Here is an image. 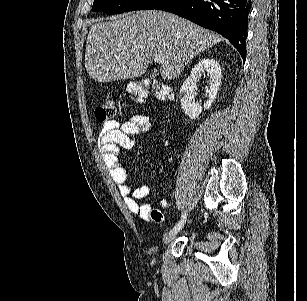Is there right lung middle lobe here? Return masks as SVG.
<instances>
[{
  "label": "right lung middle lobe",
  "mask_w": 307,
  "mask_h": 301,
  "mask_svg": "<svg viewBox=\"0 0 307 301\" xmlns=\"http://www.w3.org/2000/svg\"><path fill=\"white\" fill-rule=\"evenodd\" d=\"M153 0H94L92 11H103L108 14H120L141 10Z\"/></svg>",
  "instance_id": "1"
}]
</instances>
